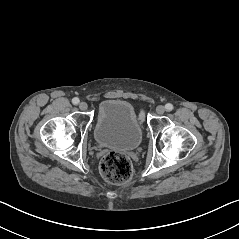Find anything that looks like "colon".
<instances>
[{
  "mask_svg": "<svg viewBox=\"0 0 239 239\" xmlns=\"http://www.w3.org/2000/svg\"><path fill=\"white\" fill-rule=\"evenodd\" d=\"M100 173L106 181L112 184H121L130 180L133 167L126 156L110 152L101 160Z\"/></svg>",
  "mask_w": 239,
  "mask_h": 239,
  "instance_id": "colon-1",
  "label": "colon"
}]
</instances>
